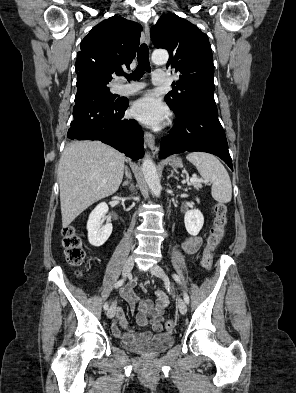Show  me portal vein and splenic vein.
<instances>
[{
    "mask_svg": "<svg viewBox=\"0 0 296 393\" xmlns=\"http://www.w3.org/2000/svg\"><path fill=\"white\" fill-rule=\"evenodd\" d=\"M187 181H190V182H203L202 180H200V179H198L196 177H192L190 179H189V177H187Z\"/></svg>",
    "mask_w": 296,
    "mask_h": 393,
    "instance_id": "1",
    "label": "portal vein and splenic vein"
}]
</instances>
